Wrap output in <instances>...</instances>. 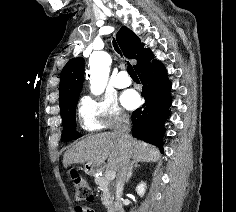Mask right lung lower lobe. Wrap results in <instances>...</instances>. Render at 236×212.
<instances>
[{
  "mask_svg": "<svg viewBox=\"0 0 236 212\" xmlns=\"http://www.w3.org/2000/svg\"><path fill=\"white\" fill-rule=\"evenodd\" d=\"M151 59L153 54L150 51L144 62L136 69L143 84L142 96L145 103L132 113V135L158 146L162 151L164 123L170 113L171 83L167 79L165 67L155 59L151 62Z\"/></svg>",
  "mask_w": 236,
  "mask_h": 212,
  "instance_id": "right-lung-lower-lobe-1",
  "label": "right lung lower lobe"
}]
</instances>
